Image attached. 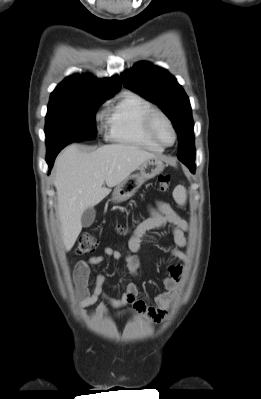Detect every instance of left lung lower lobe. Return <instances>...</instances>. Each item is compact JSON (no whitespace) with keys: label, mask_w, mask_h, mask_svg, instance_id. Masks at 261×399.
Segmentation results:
<instances>
[{"label":"left lung lower lobe","mask_w":261,"mask_h":399,"mask_svg":"<svg viewBox=\"0 0 261 399\" xmlns=\"http://www.w3.org/2000/svg\"><path fill=\"white\" fill-rule=\"evenodd\" d=\"M183 163L189 168V170L192 173L195 172V164H194V162L184 161Z\"/></svg>","instance_id":"1"}]
</instances>
